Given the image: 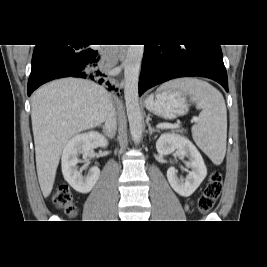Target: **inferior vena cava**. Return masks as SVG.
<instances>
[{"instance_id": "1", "label": "inferior vena cava", "mask_w": 267, "mask_h": 267, "mask_svg": "<svg viewBox=\"0 0 267 267\" xmlns=\"http://www.w3.org/2000/svg\"><path fill=\"white\" fill-rule=\"evenodd\" d=\"M104 128H105V134L108 137L114 136L116 130V114L111 103L109 104V113L105 120Z\"/></svg>"}]
</instances>
